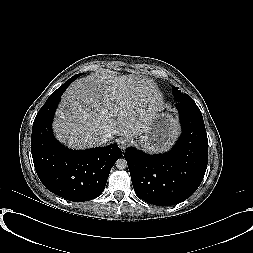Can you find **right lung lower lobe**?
I'll return each instance as SVG.
<instances>
[{
	"instance_id": "right-lung-lower-lobe-1",
	"label": "right lung lower lobe",
	"mask_w": 253,
	"mask_h": 253,
	"mask_svg": "<svg viewBox=\"0 0 253 253\" xmlns=\"http://www.w3.org/2000/svg\"><path fill=\"white\" fill-rule=\"evenodd\" d=\"M74 80L69 79L54 91L37 113L32 127L31 152L37 175L49 191L70 201L83 202L101 195L122 151L116 143L73 151L54 138L51 124L56 107Z\"/></svg>"
}]
</instances>
